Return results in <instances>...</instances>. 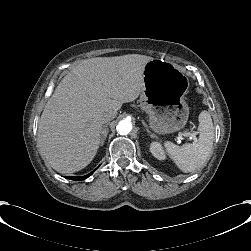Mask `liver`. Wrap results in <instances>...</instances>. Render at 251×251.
Segmentation results:
<instances>
[{"label": "liver", "instance_id": "liver-1", "mask_svg": "<svg viewBox=\"0 0 251 251\" xmlns=\"http://www.w3.org/2000/svg\"><path fill=\"white\" fill-rule=\"evenodd\" d=\"M153 57L126 54L75 64L47 101L38 128V147L53 169L74 173L93 159L102 119L141 93L143 69Z\"/></svg>", "mask_w": 251, "mask_h": 251}]
</instances>
